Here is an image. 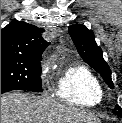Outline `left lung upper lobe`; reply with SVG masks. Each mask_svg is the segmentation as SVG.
Wrapping results in <instances>:
<instances>
[{
	"instance_id": "obj_1",
	"label": "left lung upper lobe",
	"mask_w": 122,
	"mask_h": 123,
	"mask_svg": "<svg viewBox=\"0 0 122 123\" xmlns=\"http://www.w3.org/2000/svg\"><path fill=\"white\" fill-rule=\"evenodd\" d=\"M69 34L82 59L101 74L110 88H114L111 71L102 56V50L97 46L94 34L84 25H73L68 28ZM114 114L122 118V109L116 105Z\"/></svg>"
}]
</instances>
